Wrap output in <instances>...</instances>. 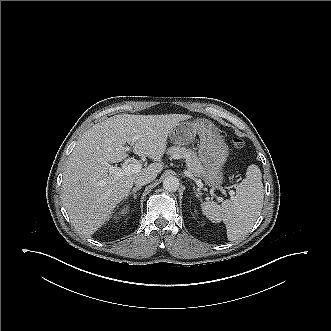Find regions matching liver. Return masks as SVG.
<instances>
[{
    "label": "liver",
    "mask_w": 331,
    "mask_h": 331,
    "mask_svg": "<svg viewBox=\"0 0 331 331\" xmlns=\"http://www.w3.org/2000/svg\"><path fill=\"white\" fill-rule=\"evenodd\" d=\"M189 115H117L96 124L79 140L67 161L63 176V200L73 222L91 235L109 218L118 203L128 196L136 177L154 178L163 170L161 159L167 138ZM126 143L135 153L154 163L132 175L109 172L112 163L127 157ZM110 165V166H109Z\"/></svg>",
    "instance_id": "6515ba94"
}]
</instances>
